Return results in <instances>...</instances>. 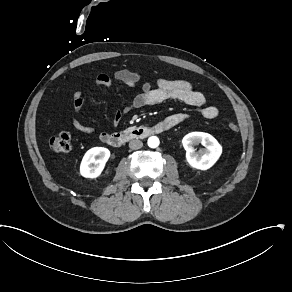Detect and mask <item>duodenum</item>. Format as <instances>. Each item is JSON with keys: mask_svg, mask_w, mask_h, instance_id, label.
<instances>
[{"mask_svg": "<svg viewBox=\"0 0 292 292\" xmlns=\"http://www.w3.org/2000/svg\"><path fill=\"white\" fill-rule=\"evenodd\" d=\"M165 128L160 125H155L153 127H144L133 129L123 133H113L109 134L106 141L114 148L121 147L127 140L130 139H143L152 134L165 132Z\"/></svg>", "mask_w": 292, "mask_h": 292, "instance_id": "duodenum-1", "label": "duodenum"}]
</instances>
